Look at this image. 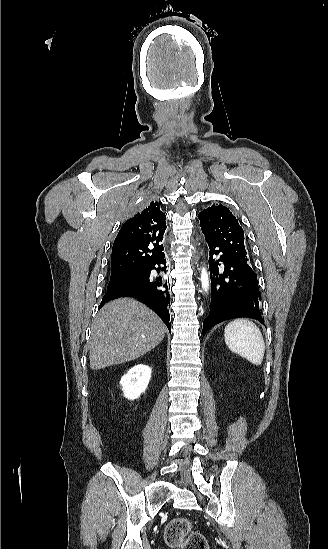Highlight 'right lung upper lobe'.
I'll return each mask as SVG.
<instances>
[{"label":"right lung upper lobe","mask_w":328,"mask_h":549,"mask_svg":"<svg viewBox=\"0 0 328 549\" xmlns=\"http://www.w3.org/2000/svg\"><path fill=\"white\" fill-rule=\"evenodd\" d=\"M152 201L122 225L112 248L111 275L146 271L163 256L166 216Z\"/></svg>","instance_id":"right-lung-upper-lobe-1"}]
</instances>
